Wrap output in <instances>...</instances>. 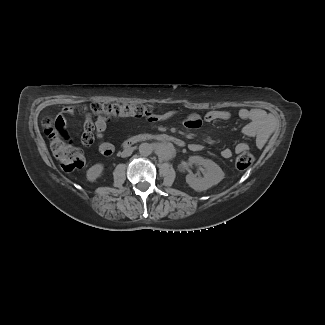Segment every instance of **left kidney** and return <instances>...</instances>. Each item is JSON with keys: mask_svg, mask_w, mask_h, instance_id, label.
Masks as SVG:
<instances>
[{"mask_svg": "<svg viewBox=\"0 0 325 325\" xmlns=\"http://www.w3.org/2000/svg\"><path fill=\"white\" fill-rule=\"evenodd\" d=\"M190 165H201L205 168L203 177L199 178L193 173L186 175L187 184L195 191H205L217 185L224 179L222 169L210 159L200 156H191L189 158Z\"/></svg>", "mask_w": 325, "mask_h": 325, "instance_id": "1", "label": "left kidney"}]
</instances>
